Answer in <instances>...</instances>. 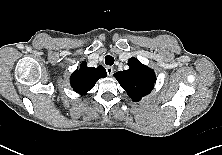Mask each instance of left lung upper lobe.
I'll use <instances>...</instances> for the list:
<instances>
[{"label":"left lung upper lobe","mask_w":222,"mask_h":155,"mask_svg":"<svg viewBox=\"0 0 222 155\" xmlns=\"http://www.w3.org/2000/svg\"><path fill=\"white\" fill-rule=\"evenodd\" d=\"M128 65V70L117 72L114 76L131 99L138 102L153 89L155 72L135 57L128 60Z\"/></svg>","instance_id":"1"}]
</instances>
